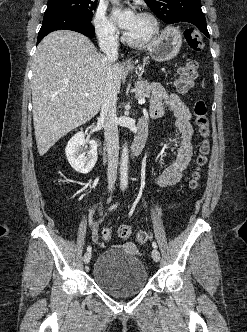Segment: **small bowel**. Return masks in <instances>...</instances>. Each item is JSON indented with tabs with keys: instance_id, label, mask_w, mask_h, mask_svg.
<instances>
[{
	"instance_id": "c3829d8e",
	"label": "small bowel",
	"mask_w": 247,
	"mask_h": 332,
	"mask_svg": "<svg viewBox=\"0 0 247 332\" xmlns=\"http://www.w3.org/2000/svg\"><path fill=\"white\" fill-rule=\"evenodd\" d=\"M169 108L176 116V126L180 131V141L176 159L168 165L156 178V183L161 187H173L180 182L187 169L193 153V128L190 124L191 113L184 102L176 95L168 93L162 86H153V95L150 100L149 116L162 117ZM101 218L87 219L94 241L98 240V225Z\"/></svg>"
}]
</instances>
